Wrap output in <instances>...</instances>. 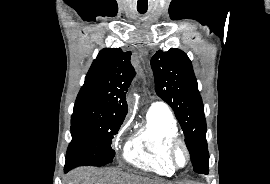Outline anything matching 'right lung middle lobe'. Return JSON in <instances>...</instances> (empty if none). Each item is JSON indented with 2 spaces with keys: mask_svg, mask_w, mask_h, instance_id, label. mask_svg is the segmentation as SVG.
Here are the masks:
<instances>
[{
  "mask_svg": "<svg viewBox=\"0 0 270 184\" xmlns=\"http://www.w3.org/2000/svg\"><path fill=\"white\" fill-rule=\"evenodd\" d=\"M122 123L121 119L96 113L89 105L75 103L65 171L80 165L103 166L112 162L115 151L111 141Z\"/></svg>",
  "mask_w": 270,
  "mask_h": 184,
  "instance_id": "right-lung-middle-lobe-1",
  "label": "right lung middle lobe"
}]
</instances>
